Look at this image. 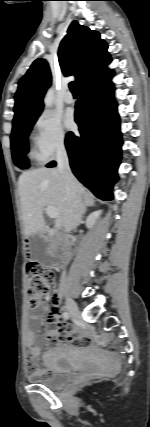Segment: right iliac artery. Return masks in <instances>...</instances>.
Here are the masks:
<instances>
[{"label": "right iliac artery", "mask_w": 150, "mask_h": 427, "mask_svg": "<svg viewBox=\"0 0 150 427\" xmlns=\"http://www.w3.org/2000/svg\"><path fill=\"white\" fill-rule=\"evenodd\" d=\"M63 317H64V319H68L69 318V313L68 312H64L63 313Z\"/></svg>", "instance_id": "1"}]
</instances>
